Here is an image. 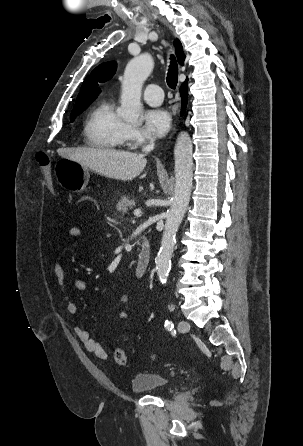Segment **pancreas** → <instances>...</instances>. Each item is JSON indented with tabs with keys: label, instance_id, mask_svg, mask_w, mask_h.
<instances>
[{
	"label": "pancreas",
	"instance_id": "pancreas-1",
	"mask_svg": "<svg viewBox=\"0 0 303 446\" xmlns=\"http://www.w3.org/2000/svg\"><path fill=\"white\" fill-rule=\"evenodd\" d=\"M135 205L134 200H129V197L122 196L121 199L116 204V209L118 212H120L122 215L127 214V212L132 209V207Z\"/></svg>",
	"mask_w": 303,
	"mask_h": 446
}]
</instances>
